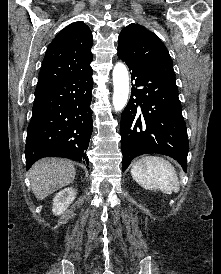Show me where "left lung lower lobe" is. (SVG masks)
I'll return each instance as SVG.
<instances>
[{
  "label": "left lung lower lobe",
  "instance_id": "left-lung-lower-lobe-1",
  "mask_svg": "<svg viewBox=\"0 0 221 274\" xmlns=\"http://www.w3.org/2000/svg\"><path fill=\"white\" fill-rule=\"evenodd\" d=\"M131 73L132 91L121 115L123 171L136 156L167 155L187 170L189 142L174 79L156 73L118 52Z\"/></svg>",
  "mask_w": 221,
  "mask_h": 274
}]
</instances>
